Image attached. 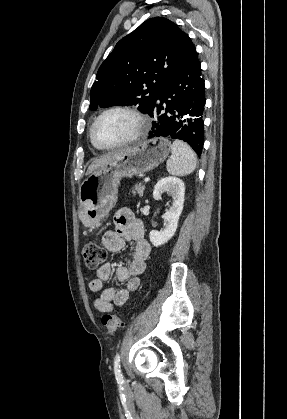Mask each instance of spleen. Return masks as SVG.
I'll return each instance as SVG.
<instances>
[{
    "mask_svg": "<svg viewBox=\"0 0 287 419\" xmlns=\"http://www.w3.org/2000/svg\"><path fill=\"white\" fill-rule=\"evenodd\" d=\"M197 165V158L191 147L175 140L171 145V156L167 160V171L175 176H186L191 174Z\"/></svg>",
    "mask_w": 287,
    "mask_h": 419,
    "instance_id": "3e777b00",
    "label": "spleen"
}]
</instances>
